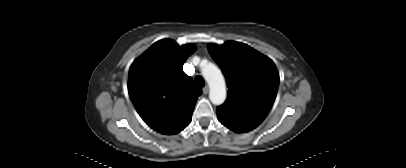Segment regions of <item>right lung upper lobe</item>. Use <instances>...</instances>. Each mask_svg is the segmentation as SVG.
Instances as JSON below:
<instances>
[{
  "mask_svg": "<svg viewBox=\"0 0 406 168\" xmlns=\"http://www.w3.org/2000/svg\"><path fill=\"white\" fill-rule=\"evenodd\" d=\"M193 44L179 47L171 39L154 43L131 65L128 77L130 99L142 119L163 134H176L192 119L202 90L183 70Z\"/></svg>",
  "mask_w": 406,
  "mask_h": 168,
  "instance_id": "obj_1",
  "label": "right lung upper lobe"
}]
</instances>
